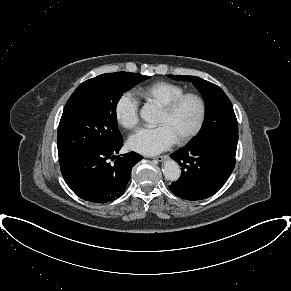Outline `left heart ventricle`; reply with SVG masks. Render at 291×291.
I'll list each match as a JSON object with an SVG mask.
<instances>
[{
  "label": "left heart ventricle",
  "instance_id": "left-heart-ventricle-1",
  "mask_svg": "<svg viewBox=\"0 0 291 291\" xmlns=\"http://www.w3.org/2000/svg\"><path fill=\"white\" fill-rule=\"evenodd\" d=\"M199 115V106L194 99L184 100L172 114L161 110L157 124L166 125L178 140L189 133Z\"/></svg>",
  "mask_w": 291,
  "mask_h": 291
}]
</instances>
